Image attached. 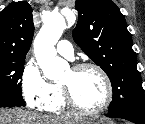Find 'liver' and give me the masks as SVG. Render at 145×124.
I'll return each instance as SVG.
<instances>
[{"instance_id": "liver-1", "label": "liver", "mask_w": 145, "mask_h": 124, "mask_svg": "<svg viewBox=\"0 0 145 124\" xmlns=\"http://www.w3.org/2000/svg\"><path fill=\"white\" fill-rule=\"evenodd\" d=\"M78 118H53L23 109H0V124H78Z\"/></svg>"}]
</instances>
